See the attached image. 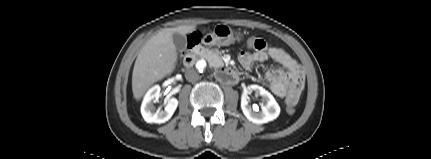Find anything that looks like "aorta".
I'll return each mask as SVG.
<instances>
[{"label": "aorta", "instance_id": "1", "mask_svg": "<svg viewBox=\"0 0 431 159\" xmlns=\"http://www.w3.org/2000/svg\"><path fill=\"white\" fill-rule=\"evenodd\" d=\"M196 67H197V69H198L199 71H205V70H206V68H207V66H206V64H205L204 62H198V63L196 64Z\"/></svg>", "mask_w": 431, "mask_h": 159}]
</instances>
